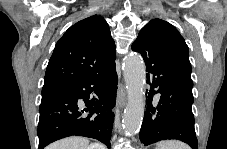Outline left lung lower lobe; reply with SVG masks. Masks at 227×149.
Here are the masks:
<instances>
[{
    "instance_id": "left-lung-lower-lobe-1",
    "label": "left lung lower lobe",
    "mask_w": 227,
    "mask_h": 149,
    "mask_svg": "<svg viewBox=\"0 0 227 149\" xmlns=\"http://www.w3.org/2000/svg\"><path fill=\"white\" fill-rule=\"evenodd\" d=\"M146 65V110L139 132L147 146L164 139H177L197 149L192 104L193 81L155 42L149 31L141 30L132 44ZM159 94L158 99L154 98Z\"/></svg>"
}]
</instances>
